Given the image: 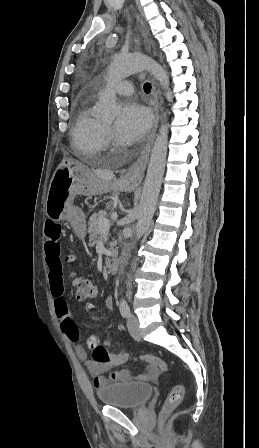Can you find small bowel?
I'll use <instances>...</instances> for the list:
<instances>
[{"label":"small bowel","instance_id":"c3829d8e","mask_svg":"<svg viewBox=\"0 0 259 448\" xmlns=\"http://www.w3.org/2000/svg\"><path fill=\"white\" fill-rule=\"evenodd\" d=\"M61 226L53 221H47L44 227V254L45 262L49 271V283L54 298V310L60 322V327L66 336L77 344L76 353L85 362L86 368L93 377V385L97 390L107 386L110 381L127 383L131 381H149L157 377L158 369L155 366H147L142 374H133L129 370L122 369L112 373L110 379L104 373L110 369V363H96L88 359L87 352L80 344L87 338V332L81 333L72 321L68 303L64 297V286L62 279V265L60 260L59 239ZM108 308L112 309V300L108 298ZM107 344L110 341H106Z\"/></svg>","mask_w":259,"mask_h":448}]
</instances>
